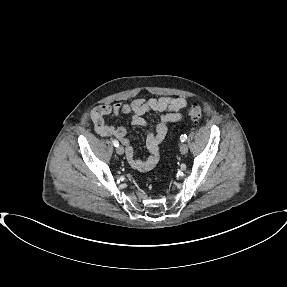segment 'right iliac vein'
<instances>
[{"instance_id": "1", "label": "right iliac vein", "mask_w": 287, "mask_h": 287, "mask_svg": "<svg viewBox=\"0 0 287 287\" xmlns=\"http://www.w3.org/2000/svg\"><path fill=\"white\" fill-rule=\"evenodd\" d=\"M116 152H117V154H119V155H122L123 153H124V148H123V146H118L117 148H116Z\"/></svg>"}]
</instances>
